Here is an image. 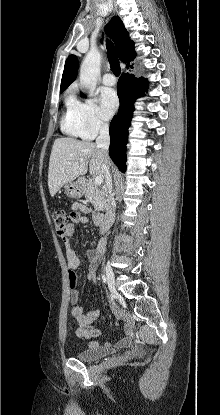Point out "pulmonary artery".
Returning <instances> with one entry per match:
<instances>
[{"instance_id": "1", "label": "pulmonary artery", "mask_w": 220, "mask_h": 415, "mask_svg": "<svg viewBox=\"0 0 220 415\" xmlns=\"http://www.w3.org/2000/svg\"><path fill=\"white\" fill-rule=\"evenodd\" d=\"M102 82L104 85L113 86L116 84V77L112 73H106L103 75Z\"/></svg>"}]
</instances>
